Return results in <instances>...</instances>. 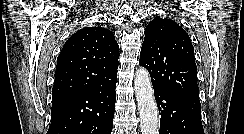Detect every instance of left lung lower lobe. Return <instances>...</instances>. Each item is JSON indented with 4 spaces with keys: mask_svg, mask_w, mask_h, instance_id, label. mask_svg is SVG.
I'll use <instances>...</instances> for the list:
<instances>
[{
    "mask_svg": "<svg viewBox=\"0 0 244 134\" xmlns=\"http://www.w3.org/2000/svg\"><path fill=\"white\" fill-rule=\"evenodd\" d=\"M160 111L159 134H204L199 95L154 90Z\"/></svg>",
    "mask_w": 244,
    "mask_h": 134,
    "instance_id": "0a47b994",
    "label": "left lung lower lobe"
}]
</instances>
